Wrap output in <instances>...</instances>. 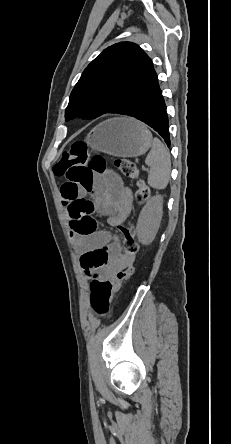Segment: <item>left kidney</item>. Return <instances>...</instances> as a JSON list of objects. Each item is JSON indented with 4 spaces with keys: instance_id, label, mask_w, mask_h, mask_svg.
<instances>
[{
    "instance_id": "1",
    "label": "left kidney",
    "mask_w": 231,
    "mask_h": 444,
    "mask_svg": "<svg viewBox=\"0 0 231 444\" xmlns=\"http://www.w3.org/2000/svg\"><path fill=\"white\" fill-rule=\"evenodd\" d=\"M163 214V197L156 195L152 197L142 208L136 227L139 242L144 245L150 244L159 229Z\"/></svg>"
}]
</instances>
